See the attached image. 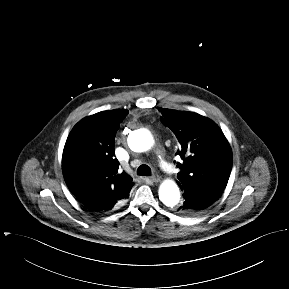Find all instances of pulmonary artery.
Segmentation results:
<instances>
[{
    "instance_id": "pulmonary-artery-1",
    "label": "pulmonary artery",
    "mask_w": 289,
    "mask_h": 289,
    "mask_svg": "<svg viewBox=\"0 0 289 289\" xmlns=\"http://www.w3.org/2000/svg\"><path fill=\"white\" fill-rule=\"evenodd\" d=\"M160 164H161V167L165 170V171H167V172H172V167L167 163V162H165L164 160H161V162H160Z\"/></svg>"
}]
</instances>
